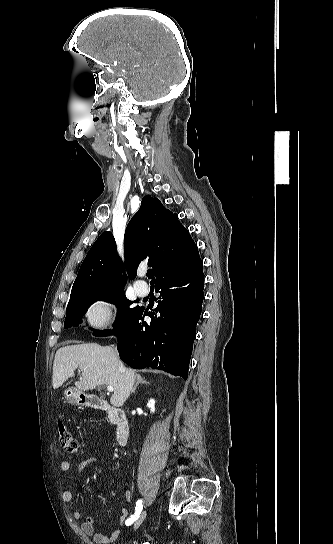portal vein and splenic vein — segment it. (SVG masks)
<instances>
[{
	"instance_id": "obj_1",
	"label": "portal vein and splenic vein",
	"mask_w": 333,
	"mask_h": 544,
	"mask_svg": "<svg viewBox=\"0 0 333 544\" xmlns=\"http://www.w3.org/2000/svg\"><path fill=\"white\" fill-rule=\"evenodd\" d=\"M107 390H108L109 392H113V391H114V388H113V386H107Z\"/></svg>"
}]
</instances>
